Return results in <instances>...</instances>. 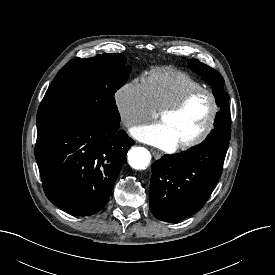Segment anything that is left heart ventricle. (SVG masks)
Returning <instances> with one entry per match:
<instances>
[{
  "mask_svg": "<svg viewBox=\"0 0 275 275\" xmlns=\"http://www.w3.org/2000/svg\"><path fill=\"white\" fill-rule=\"evenodd\" d=\"M211 100L206 94L193 97L179 112L164 115L159 121L167 126L177 144L197 136L205 127L210 113Z\"/></svg>",
  "mask_w": 275,
  "mask_h": 275,
  "instance_id": "b2bd125f",
  "label": "left heart ventricle"
}]
</instances>
